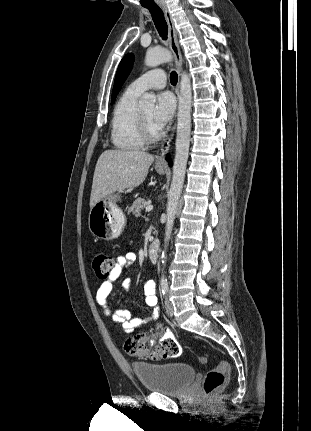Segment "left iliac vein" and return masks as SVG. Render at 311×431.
<instances>
[{
  "instance_id": "left-iliac-vein-1",
  "label": "left iliac vein",
  "mask_w": 311,
  "mask_h": 431,
  "mask_svg": "<svg viewBox=\"0 0 311 431\" xmlns=\"http://www.w3.org/2000/svg\"><path fill=\"white\" fill-rule=\"evenodd\" d=\"M165 310H166V313L169 316H173L174 315L173 304H172V302L168 298H166V300H165Z\"/></svg>"
}]
</instances>
